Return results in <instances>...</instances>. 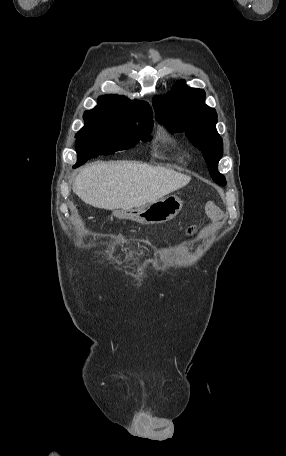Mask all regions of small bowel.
Wrapping results in <instances>:
<instances>
[{"label":"small bowel","instance_id":"c3829d8e","mask_svg":"<svg viewBox=\"0 0 286 456\" xmlns=\"http://www.w3.org/2000/svg\"><path fill=\"white\" fill-rule=\"evenodd\" d=\"M211 215L212 217L215 219V220H220L222 215H221V212L220 211H216V210H211Z\"/></svg>","mask_w":286,"mask_h":456}]
</instances>
